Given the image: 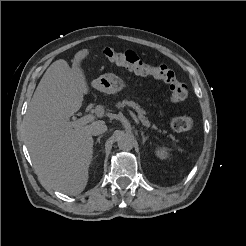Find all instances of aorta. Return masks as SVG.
Here are the masks:
<instances>
[{"mask_svg": "<svg viewBox=\"0 0 246 246\" xmlns=\"http://www.w3.org/2000/svg\"><path fill=\"white\" fill-rule=\"evenodd\" d=\"M117 144L121 150H131L134 146V137L130 133L122 132L117 136Z\"/></svg>", "mask_w": 246, "mask_h": 246, "instance_id": "1", "label": "aorta"}]
</instances>
